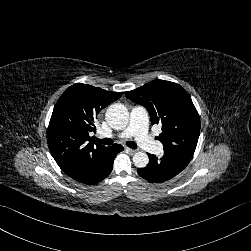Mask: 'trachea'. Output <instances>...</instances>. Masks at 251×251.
Returning <instances> with one entry per match:
<instances>
[{
	"instance_id": "1",
	"label": "trachea",
	"mask_w": 251,
	"mask_h": 251,
	"mask_svg": "<svg viewBox=\"0 0 251 251\" xmlns=\"http://www.w3.org/2000/svg\"><path fill=\"white\" fill-rule=\"evenodd\" d=\"M99 143L101 144H105V145H111L113 144V140L112 139H109V138H104V139H98L97 140ZM126 145L130 148H136L137 147V144L135 142H132V141H128L126 142Z\"/></svg>"
}]
</instances>
